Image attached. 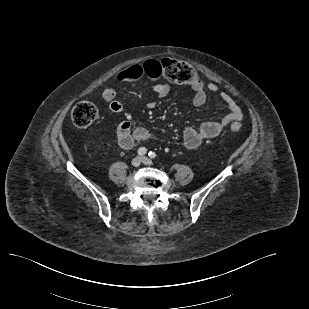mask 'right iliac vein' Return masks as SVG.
I'll return each instance as SVG.
<instances>
[{
  "label": "right iliac vein",
  "mask_w": 309,
  "mask_h": 309,
  "mask_svg": "<svg viewBox=\"0 0 309 309\" xmlns=\"http://www.w3.org/2000/svg\"><path fill=\"white\" fill-rule=\"evenodd\" d=\"M141 162H142L141 157L137 156V157L133 158L131 164L134 167H138L141 164Z\"/></svg>",
  "instance_id": "63e3f726"
}]
</instances>
